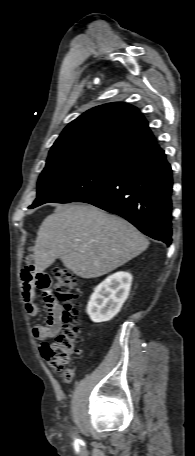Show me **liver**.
<instances>
[{
  "mask_svg": "<svg viewBox=\"0 0 195 456\" xmlns=\"http://www.w3.org/2000/svg\"><path fill=\"white\" fill-rule=\"evenodd\" d=\"M149 241L128 221L88 204L58 206L42 222L34 248L43 272L60 258L75 275H105L147 249Z\"/></svg>",
  "mask_w": 195,
  "mask_h": 456,
  "instance_id": "1",
  "label": "liver"
}]
</instances>
